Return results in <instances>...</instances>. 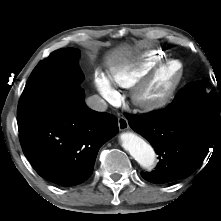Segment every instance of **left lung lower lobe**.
Segmentation results:
<instances>
[{"mask_svg":"<svg viewBox=\"0 0 221 221\" xmlns=\"http://www.w3.org/2000/svg\"><path fill=\"white\" fill-rule=\"evenodd\" d=\"M127 118L131 128L146 138L160 156L154 171L141 173L151 183L190 176L209 148L221 140V117L216 113H172L165 108Z\"/></svg>","mask_w":221,"mask_h":221,"instance_id":"1","label":"left lung lower lobe"}]
</instances>
